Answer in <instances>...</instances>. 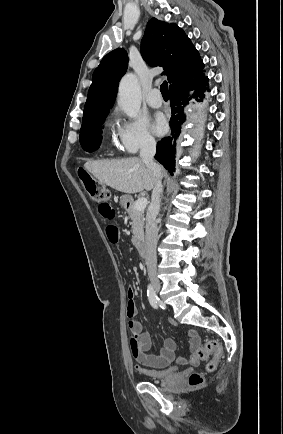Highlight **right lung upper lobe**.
I'll list each match as a JSON object with an SVG mask.
<instances>
[{
  "label": "right lung upper lobe",
  "instance_id": "right-lung-upper-lobe-1",
  "mask_svg": "<svg viewBox=\"0 0 283 434\" xmlns=\"http://www.w3.org/2000/svg\"><path fill=\"white\" fill-rule=\"evenodd\" d=\"M141 54L151 66H161L170 89L190 87L204 77V63L184 31L174 23L156 18L149 20L141 43ZM128 55L123 48L108 53L95 69L88 91L82 126L107 116L116 97L118 84L125 74Z\"/></svg>",
  "mask_w": 283,
  "mask_h": 434
}]
</instances>
